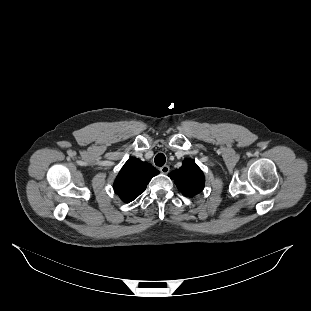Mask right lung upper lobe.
Instances as JSON below:
<instances>
[{
	"label": "right lung upper lobe",
	"instance_id": "cb5924a9",
	"mask_svg": "<svg viewBox=\"0 0 311 311\" xmlns=\"http://www.w3.org/2000/svg\"><path fill=\"white\" fill-rule=\"evenodd\" d=\"M159 171L150 163L130 158L119 172L114 190L125 203L136 199L145 189L152 177Z\"/></svg>",
	"mask_w": 311,
	"mask_h": 311
}]
</instances>
